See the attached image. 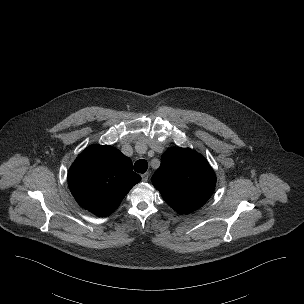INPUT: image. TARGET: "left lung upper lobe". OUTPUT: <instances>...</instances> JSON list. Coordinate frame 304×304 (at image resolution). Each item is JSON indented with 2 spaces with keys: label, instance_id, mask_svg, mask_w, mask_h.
<instances>
[{
  "label": "left lung upper lobe",
  "instance_id": "1",
  "mask_svg": "<svg viewBox=\"0 0 304 304\" xmlns=\"http://www.w3.org/2000/svg\"><path fill=\"white\" fill-rule=\"evenodd\" d=\"M154 187L178 213L192 212L212 195L216 176L207 160L186 148H169L152 176Z\"/></svg>",
  "mask_w": 304,
  "mask_h": 304
}]
</instances>
